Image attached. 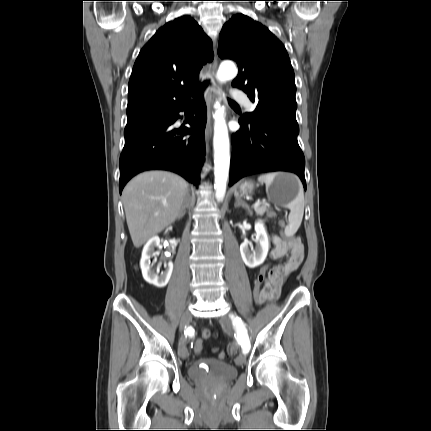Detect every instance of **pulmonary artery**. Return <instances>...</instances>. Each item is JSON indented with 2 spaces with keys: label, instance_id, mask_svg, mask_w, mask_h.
Instances as JSON below:
<instances>
[{
  "label": "pulmonary artery",
  "instance_id": "obj_1",
  "mask_svg": "<svg viewBox=\"0 0 431 431\" xmlns=\"http://www.w3.org/2000/svg\"><path fill=\"white\" fill-rule=\"evenodd\" d=\"M232 96L236 101L243 104L248 110L254 109L253 103L248 99V97L242 91L234 89L232 90Z\"/></svg>",
  "mask_w": 431,
  "mask_h": 431
}]
</instances>
